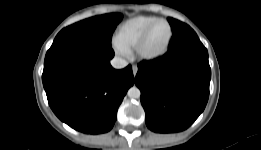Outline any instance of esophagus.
<instances>
[{"instance_id": "esophagus-1", "label": "esophagus", "mask_w": 261, "mask_h": 150, "mask_svg": "<svg viewBox=\"0 0 261 150\" xmlns=\"http://www.w3.org/2000/svg\"><path fill=\"white\" fill-rule=\"evenodd\" d=\"M132 71H133V75L136 76L137 72H138V67L136 65L132 66Z\"/></svg>"}]
</instances>
